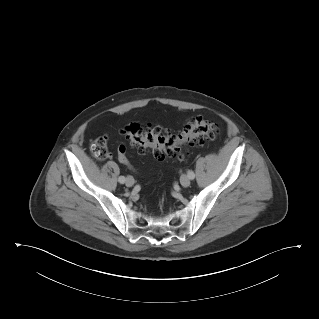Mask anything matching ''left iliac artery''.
<instances>
[{"instance_id": "44dca946", "label": "left iliac artery", "mask_w": 319, "mask_h": 319, "mask_svg": "<svg viewBox=\"0 0 319 319\" xmlns=\"http://www.w3.org/2000/svg\"><path fill=\"white\" fill-rule=\"evenodd\" d=\"M188 177H189V179L193 180L195 178L194 172L193 171H189L188 172Z\"/></svg>"}]
</instances>
